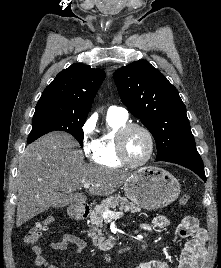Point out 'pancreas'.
Returning <instances> with one entry per match:
<instances>
[{
	"instance_id": "cf45deb5",
	"label": "pancreas",
	"mask_w": 221,
	"mask_h": 268,
	"mask_svg": "<svg viewBox=\"0 0 221 268\" xmlns=\"http://www.w3.org/2000/svg\"><path fill=\"white\" fill-rule=\"evenodd\" d=\"M119 207L120 209H124L125 211L140 212L141 208L129 202L125 197H121L120 195L109 196L102 203L95 207V209L90 214V229L88 236L92 238L93 245L98 247L100 250H107L110 245V241L106 240L103 237L102 232L99 228L103 226V217L102 213L105 210H109L110 208Z\"/></svg>"
}]
</instances>
